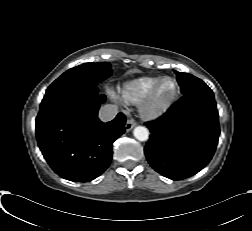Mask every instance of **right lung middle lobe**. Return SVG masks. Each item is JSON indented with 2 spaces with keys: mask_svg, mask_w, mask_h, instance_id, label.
I'll use <instances>...</instances> for the list:
<instances>
[{
  "mask_svg": "<svg viewBox=\"0 0 252 231\" xmlns=\"http://www.w3.org/2000/svg\"><path fill=\"white\" fill-rule=\"evenodd\" d=\"M111 74L108 62L84 63L63 73L48 87L45 96L70 88L96 86Z\"/></svg>",
  "mask_w": 252,
  "mask_h": 231,
  "instance_id": "right-lung-middle-lobe-1",
  "label": "right lung middle lobe"
}]
</instances>
